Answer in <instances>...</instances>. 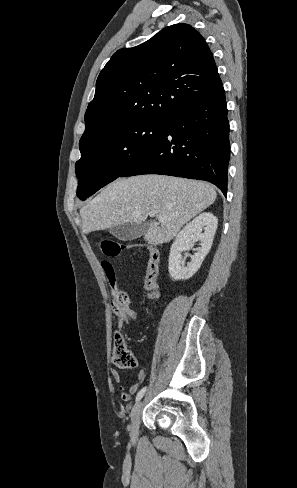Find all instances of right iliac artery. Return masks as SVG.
Here are the masks:
<instances>
[{
  "mask_svg": "<svg viewBox=\"0 0 297 488\" xmlns=\"http://www.w3.org/2000/svg\"><path fill=\"white\" fill-rule=\"evenodd\" d=\"M145 392H146V387L142 388V389H141V390L138 392V394H137V396H136V401H139V400H140V399L143 397V395L145 394Z\"/></svg>",
  "mask_w": 297,
  "mask_h": 488,
  "instance_id": "82829eb1",
  "label": "right iliac artery"
}]
</instances>
